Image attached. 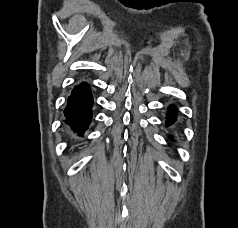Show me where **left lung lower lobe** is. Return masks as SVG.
<instances>
[{"label": "left lung lower lobe", "mask_w": 238, "mask_h": 228, "mask_svg": "<svg viewBox=\"0 0 238 228\" xmlns=\"http://www.w3.org/2000/svg\"><path fill=\"white\" fill-rule=\"evenodd\" d=\"M176 120V108L174 106H171L169 108V114L167 116V125H172Z\"/></svg>", "instance_id": "1"}]
</instances>
